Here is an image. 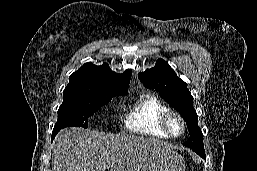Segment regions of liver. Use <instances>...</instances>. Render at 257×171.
Segmentation results:
<instances>
[{
	"instance_id": "liver-1",
	"label": "liver",
	"mask_w": 257,
	"mask_h": 171,
	"mask_svg": "<svg viewBox=\"0 0 257 171\" xmlns=\"http://www.w3.org/2000/svg\"><path fill=\"white\" fill-rule=\"evenodd\" d=\"M169 151L160 140L65 128L52 146L53 171H141L150 152Z\"/></svg>"
}]
</instances>
